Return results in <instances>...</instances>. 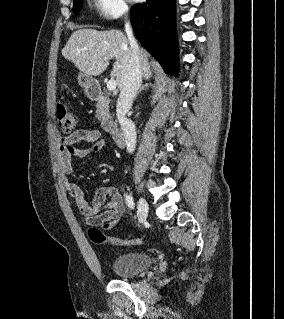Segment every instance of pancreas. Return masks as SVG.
Masks as SVG:
<instances>
[{"mask_svg": "<svg viewBox=\"0 0 284 319\" xmlns=\"http://www.w3.org/2000/svg\"><path fill=\"white\" fill-rule=\"evenodd\" d=\"M96 107H97L96 117L99 121H103L106 118L110 117L108 101L99 102L97 103Z\"/></svg>", "mask_w": 284, "mask_h": 319, "instance_id": "obj_1", "label": "pancreas"}]
</instances>
